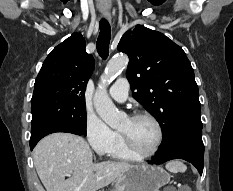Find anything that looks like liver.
I'll return each mask as SVG.
<instances>
[{
	"label": "liver",
	"instance_id": "obj_1",
	"mask_svg": "<svg viewBox=\"0 0 233 191\" xmlns=\"http://www.w3.org/2000/svg\"><path fill=\"white\" fill-rule=\"evenodd\" d=\"M33 160L46 191H97L132 167L125 162L93 163L87 141L64 132L43 138L34 148Z\"/></svg>",
	"mask_w": 233,
	"mask_h": 191
}]
</instances>
